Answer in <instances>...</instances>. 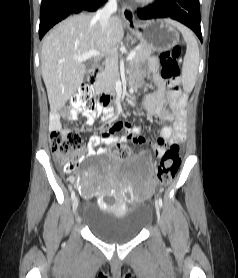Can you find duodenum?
Segmentation results:
<instances>
[{
  "label": "duodenum",
  "instance_id": "obj_1",
  "mask_svg": "<svg viewBox=\"0 0 238 278\" xmlns=\"http://www.w3.org/2000/svg\"><path fill=\"white\" fill-rule=\"evenodd\" d=\"M99 71H100V68L97 66L92 68L90 77H89L91 84L95 83ZM98 99H99V102L103 105H108L111 102L110 95L107 93H104V92H98Z\"/></svg>",
  "mask_w": 238,
  "mask_h": 278
}]
</instances>
